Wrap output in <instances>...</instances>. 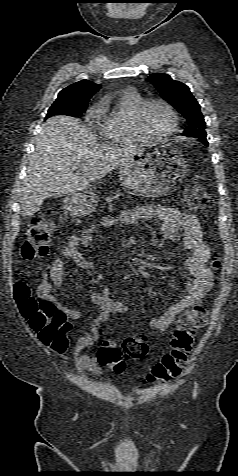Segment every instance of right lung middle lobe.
<instances>
[{"instance_id":"obj_1","label":"right lung middle lobe","mask_w":238,"mask_h":476,"mask_svg":"<svg viewBox=\"0 0 238 476\" xmlns=\"http://www.w3.org/2000/svg\"><path fill=\"white\" fill-rule=\"evenodd\" d=\"M87 104L75 103L66 98H58L49 108L46 118L54 115L78 117L85 112Z\"/></svg>"}]
</instances>
